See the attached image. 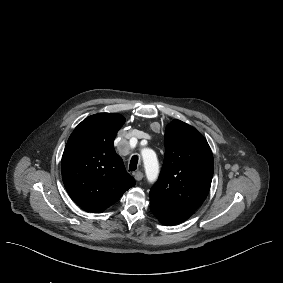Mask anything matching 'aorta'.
Listing matches in <instances>:
<instances>
[{
    "label": "aorta",
    "mask_w": 283,
    "mask_h": 283,
    "mask_svg": "<svg viewBox=\"0 0 283 283\" xmlns=\"http://www.w3.org/2000/svg\"><path fill=\"white\" fill-rule=\"evenodd\" d=\"M146 177L149 182H154L159 174V163L153 150L145 148L141 151Z\"/></svg>",
    "instance_id": "1"
}]
</instances>
